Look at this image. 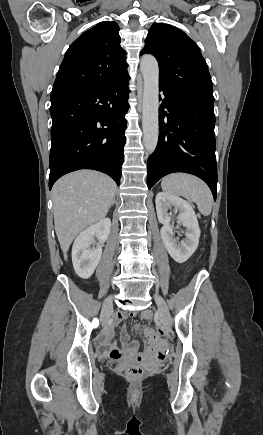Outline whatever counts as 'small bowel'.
Returning a JSON list of instances; mask_svg holds the SVG:
<instances>
[{
	"mask_svg": "<svg viewBox=\"0 0 263 435\" xmlns=\"http://www.w3.org/2000/svg\"><path fill=\"white\" fill-rule=\"evenodd\" d=\"M133 315V314H131ZM144 318H149V313H143ZM126 318V315L122 312L118 313L115 317V323H121ZM147 338L151 340L150 346L146 348L147 354H153L155 361L162 362L165 359V354L162 349V336L149 328L145 329ZM115 337L114 328L109 325L104 333L99 338L100 349L114 360L122 359L125 356H137L138 355V343L136 341H131L128 333L126 331H121V342L124 344V349H120L115 342H113Z\"/></svg>",
	"mask_w": 263,
	"mask_h": 435,
	"instance_id": "c3829d8e",
	"label": "small bowel"
}]
</instances>
